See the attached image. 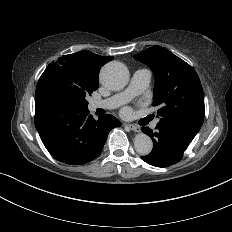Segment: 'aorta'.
Here are the masks:
<instances>
[{
  "label": "aorta",
  "instance_id": "obj_1",
  "mask_svg": "<svg viewBox=\"0 0 232 232\" xmlns=\"http://www.w3.org/2000/svg\"><path fill=\"white\" fill-rule=\"evenodd\" d=\"M99 77L104 87L116 91L127 85L129 71L121 62L111 61L101 68ZM134 146L139 154L148 155L152 151L153 143L148 135L139 133L134 138Z\"/></svg>",
  "mask_w": 232,
  "mask_h": 232
}]
</instances>
